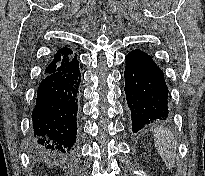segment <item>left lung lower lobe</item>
Returning <instances> with one entry per match:
<instances>
[{
    "label": "left lung lower lobe",
    "instance_id": "1",
    "mask_svg": "<svg viewBox=\"0 0 205 176\" xmlns=\"http://www.w3.org/2000/svg\"><path fill=\"white\" fill-rule=\"evenodd\" d=\"M125 93L135 133L169 115L168 87L163 71L146 52L135 49L126 57Z\"/></svg>",
    "mask_w": 205,
    "mask_h": 176
}]
</instances>
